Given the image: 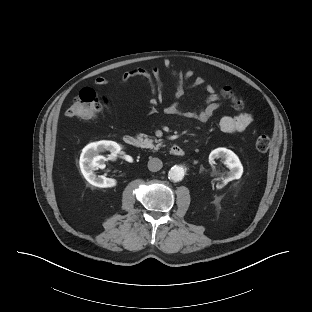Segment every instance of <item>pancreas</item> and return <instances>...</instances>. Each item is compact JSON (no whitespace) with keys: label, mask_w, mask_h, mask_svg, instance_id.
Wrapping results in <instances>:
<instances>
[{"label":"pancreas","mask_w":312,"mask_h":312,"mask_svg":"<svg viewBox=\"0 0 312 312\" xmlns=\"http://www.w3.org/2000/svg\"><path fill=\"white\" fill-rule=\"evenodd\" d=\"M138 139L140 140L141 142V145L145 148H151V149H154V150H158L161 146H162V139H155L154 142L157 143L156 146L153 145V140L152 139H149L147 135L145 134H139L138 135Z\"/></svg>","instance_id":"pancreas-1"}]
</instances>
